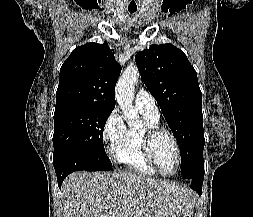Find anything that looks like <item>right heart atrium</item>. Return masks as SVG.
Instances as JSON below:
<instances>
[{"label": "right heart atrium", "instance_id": "1", "mask_svg": "<svg viewBox=\"0 0 253 217\" xmlns=\"http://www.w3.org/2000/svg\"><path fill=\"white\" fill-rule=\"evenodd\" d=\"M125 132L126 127L123 118L119 110L114 109L106 118L102 128V137L109 153L115 151L124 138Z\"/></svg>", "mask_w": 253, "mask_h": 217}]
</instances>
